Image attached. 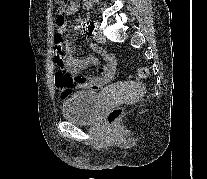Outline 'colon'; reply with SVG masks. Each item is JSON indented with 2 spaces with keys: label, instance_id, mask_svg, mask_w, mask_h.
Wrapping results in <instances>:
<instances>
[{
  "label": "colon",
  "instance_id": "obj_1",
  "mask_svg": "<svg viewBox=\"0 0 207 179\" xmlns=\"http://www.w3.org/2000/svg\"><path fill=\"white\" fill-rule=\"evenodd\" d=\"M58 12L62 14L68 4V0H55ZM54 63L56 67V86L61 91L63 97H67L74 93V84L77 78L72 76L68 64L64 55L63 37L60 33L56 32L54 35ZM148 75L147 67H139L136 73L137 79H144ZM123 115L121 108H114L107 116L108 123L110 125H116Z\"/></svg>",
  "mask_w": 207,
  "mask_h": 179
}]
</instances>
